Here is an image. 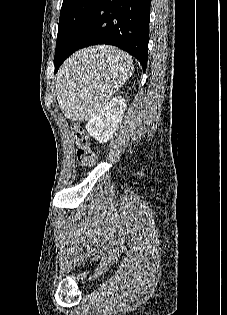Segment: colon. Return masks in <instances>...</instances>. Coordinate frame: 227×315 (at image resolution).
<instances>
[{
    "label": "colon",
    "mask_w": 227,
    "mask_h": 315,
    "mask_svg": "<svg viewBox=\"0 0 227 315\" xmlns=\"http://www.w3.org/2000/svg\"><path fill=\"white\" fill-rule=\"evenodd\" d=\"M74 143L77 147L76 158L80 168L91 167L96 161V155L90 143L87 132L77 124L72 126Z\"/></svg>",
    "instance_id": "1"
}]
</instances>
